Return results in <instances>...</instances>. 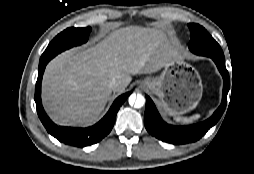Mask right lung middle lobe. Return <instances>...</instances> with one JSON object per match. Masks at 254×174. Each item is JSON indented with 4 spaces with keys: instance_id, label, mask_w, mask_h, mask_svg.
Instances as JSON below:
<instances>
[{
    "instance_id": "obj_1",
    "label": "right lung middle lobe",
    "mask_w": 254,
    "mask_h": 174,
    "mask_svg": "<svg viewBox=\"0 0 254 174\" xmlns=\"http://www.w3.org/2000/svg\"><path fill=\"white\" fill-rule=\"evenodd\" d=\"M90 31V27L67 28L50 42L40 58L39 65L43 64L44 62H49L53 57L66 49L86 42L88 40Z\"/></svg>"
}]
</instances>
